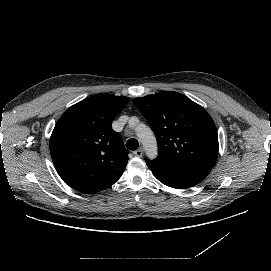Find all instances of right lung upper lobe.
<instances>
[{
    "label": "right lung upper lobe",
    "instance_id": "right-lung-upper-lobe-1",
    "mask_svg": "<svg viewBox=\"0 0 271 271\" xmlns=\"http://www.w3.org/2000/svg\"><path fill=\"white\" fill-rule=\"evenodd\" d=\"M128 101L108 93L92 95L57 121L50 153L58 174L73 189L96 193L121 177L129 152L111 123Z\"/></svg>",
    "mask_w": 271,
    "mask_h": 271
}]
</instances>
